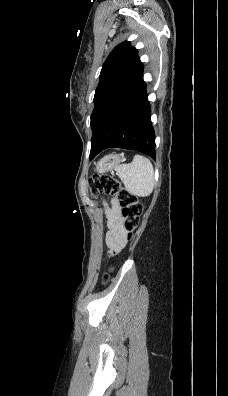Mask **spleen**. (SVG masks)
<instances>
[{
	"label": "spleen",
	"mask_w": 228,
	"mask_h": 396,
	"mask_svg": "<svg viewBox=\"0 0 228 396\" xmlns=\"http://www.w3.org/2000/svg\"><path fill=\"white\" fill-rule=\"evenodd\" d=\"M115 171L130 194L146 197L152 193L155 184L154 169L146 157L135 155L130 164L118 165Z\"/></svg>",
	"instance_id": "1"
}]
</instances>
